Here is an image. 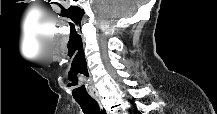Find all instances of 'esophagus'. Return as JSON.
Wrapping results in <instances>:
<instances>
[{"label":"esophagus","instance_id":"esophagus-1","mask_svg":"<svg viewBox=\"0 0 217 114\" xmlns=\"http://www.w3.org/2000/svg\"><path fill=\"white\" fill-rule=\"evenodd\" d=\"M94 99L97 101V103L99 104V107H100V110H101V113H105L107 112V109L105 107V102H104V99L100 96V95H94Z\"/></svg>","mask_w":217,"mask_h":114}]
</instances>
